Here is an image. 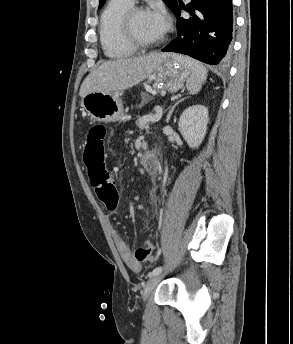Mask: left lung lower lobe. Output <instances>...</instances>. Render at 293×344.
Instances as JSON below:
<instances>
[{
  "mask_svg": "<svg viewBox=\"0 0 293 344\" xmlns=\"http://www.w3.org/2000/svg\"><path fill=\"white\" fill-rule=\"evenodd\" d=\"M181 9L191 17H180ZM172 11L177 18L178 37L162 51L182 53L212 65L229 60L233 39L232 0H191L186 7L177 2Z\"/></svg>",
  "mask_w": 293,
  "mask_h": 344,
  "instance_id": "left-lung-lower-lobe-1",
  "label": "left lung lower lobe"
}]
</instances>
